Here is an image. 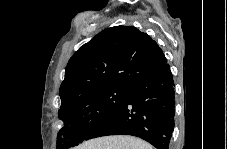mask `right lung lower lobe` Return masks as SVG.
<instances>
[{
  "instance_id": "obj_1",
  "label": "right lung lower lobe",
  "mask_w": 227,
  "mask_h": 149,
  "mask_svg": "<svg viewBox=\"0 0 227 149\" xmlns=\"http://www.w3.org/2000/svg\"><path fill=\"white\" fill-rule=\"evenodd\" d=\"M127 99L86 140L107 135L140 137L157 149H169L174 130L175 92L166 63L128 88Z\"/></svg>"
}]
</instances>
